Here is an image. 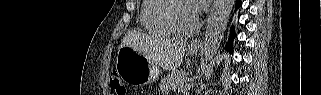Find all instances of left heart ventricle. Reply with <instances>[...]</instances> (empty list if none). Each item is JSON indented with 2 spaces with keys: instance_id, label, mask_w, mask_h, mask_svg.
<instances>
[{
  "instance_id": "left-heart-ventricle-1",
  "label": "left heart ventricle",
  "mask_w": 321,
  "mask_h": 95,
  "mask_svg": "<svg viewBox=\"0 0 321 95\" xmlns=\"http://www.w3.org/2000/svg\"><path fill=\"white\" fill-rule=\"evenodd\" d=\"M170 15L175 26L182 30L190 29L196 20L193 10L185 3L175 4Z\"/></svg>"
}]
</instances>
